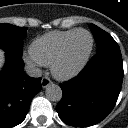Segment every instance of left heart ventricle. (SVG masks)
<instances>
[{"instance_id": "b2bd125f", "label": "left heart ventricle", "mask_w": 128, "mask_h": 128, "mask_svg": "<svg viewBox=\"0 0 128 128\" xmlns=\"http://www.w3.org/2000/svg\"><path fill=\"white\" fill-rule=\"evenodd\" d=\"M90 46V38L86 33H78L71 40L64 61L60 66L63 72L69 71L77 66L86 55Z\"/></svg>"}]
</instances>
